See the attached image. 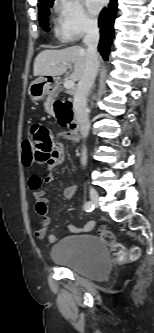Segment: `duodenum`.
<instances>
[{
    "instance_id": "duodenum-1",
    "label": "duodenum",
    "mask_w": 154,
    "mask_h": 333,
    "mask_svg": "<svg viewBox=\"0 0 154 333\" xmlns=\"http://www.w3.org/2000/svg\"><path fill=\"white\" fill-rule=\"evenodd\" d=\"M79 131H80L79 123L76 120H74L71 123V134L77 136L79 134Z\"/></svg>"
}]
</instances>
